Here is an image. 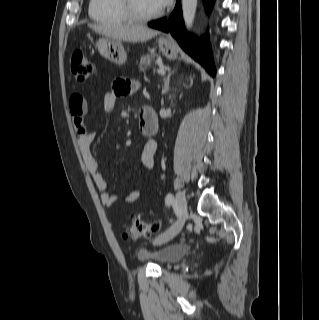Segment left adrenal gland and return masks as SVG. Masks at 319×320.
I'll return each mask as SVG.
<instances>
[{"label":"left adrenal gland","mask_w":319,"mask_h":320,"mask_svg":"<svg viewBox=\"0 0 319 320\" xmlns=\"http://www.w3.org/2000/svg\"><path fill=\"white\" fill-rule=\"evenodd\" d=\"M171 74L172 73H169L168 76L164 79V88H163L164 92H168L169 91V82H170Z\"/></svg>","instance_id":"1"}]
</instances>
